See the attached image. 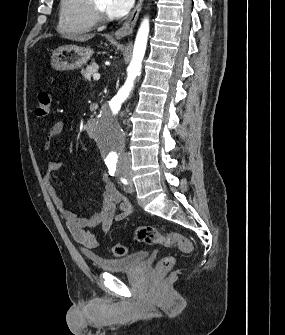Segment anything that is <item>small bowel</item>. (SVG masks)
I'll return each mask as SVG.
<instances>
[{
	"mask_svg": "<svg viewBox=\"0 0 285 335\" xmlns=\"http://www.w3.org/2000/svg\"><path fill=\"white\" fill-rule=\"evenodd\" d=\"M64 128L65 123L59 121L48 130L44 142L45 151L52 149L54 139L64 131ZM60 165L58 160L50 161L47 165L44 177L47 192L74 239L84 248H94L98 245L99 238L88 232L87 229L100 226L101 237L104 238L114 222L123 221L133 213V206L115 188L108 175L103 173L101 176L103 191L99 208L90 216L77 215L64 205L52 182V175L59 169Z\"/></svg>",
	"mask_w": 285,
	"mask_h": 335,
	"instance_id": "obj_1",
	"label": "small bowel"
}]
</instances>
